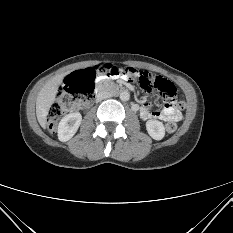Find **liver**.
Here are the masks:
<instances>
[{"mask_svg": "<svg viewBox=\"0 0 233 233\" xmlns=\"http://www.w3.org/2000/svg\"><path fill=\"white\" fill-rule=\"evenodd\" d=\"M66 74H60L53 77L51 80L45 83L42 89L39 91L36 100V116L41 127L45 128L46 118L49 110L56 99L58 87L63 81Z\"/></svg>", "mask_w": 233, "mask_h": 233, "instance_id": "1", "label": "liver"}]
</instances>
